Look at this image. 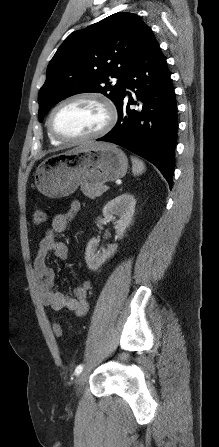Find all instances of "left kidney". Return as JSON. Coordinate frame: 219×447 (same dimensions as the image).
<instances>
[{"mask_svg":"<svg viewBox=\"0 0 219 447\" xmlns=\"http://www.w3.org/2000/svg\"><path fill=\"white\" fill-rule=\"evenodd\" d=\"M136 200L130 193H124L113 200L109 201L103 208V219L98 220V223L112 221L115 225V230L118 239L124 236L126 228L130 225L134 212ZM117 216V219L116 217ZM99 244L95 238H92L86 247L85 260L90 270H97L107 259L115 254L117 251V244H109L106 249L98 250Z\"/></svg>","mask_w":219,"mask_h":447,"instance_id":"obj_1","label":"left kidney"}]
</instances>
